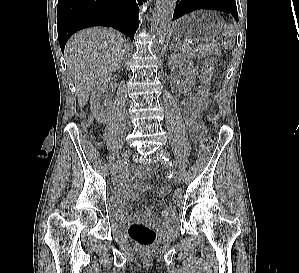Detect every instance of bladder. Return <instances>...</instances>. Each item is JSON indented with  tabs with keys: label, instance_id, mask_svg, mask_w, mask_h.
Here are the masks:
<instances>
[{
	"label": "bladder",
	"instance_id": "31cf9c89",
	"mask_svg": "<svg viewBox=\"0 0 299 273\" xmlns=\"http://www.w3.org/2000/svg\"><path fill=\"white\" fill-rule=\"evenodd\" d=\"M114 219H115V221H116L118 224H124L125 222L128 221L129 216H125V215H123V214L116 213V214L114 215ZM169 221H170V222H173V221H174V218H171Z\"/></svg>",
	"mask_w": 299,
	"mask_h": 273
}]
</instances>
